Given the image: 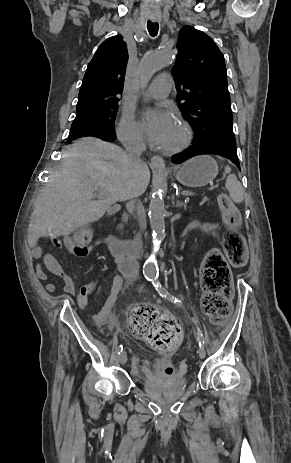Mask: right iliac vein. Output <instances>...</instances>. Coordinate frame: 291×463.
I'll return each instance as SVG.
<instances>
[{
  "label": "right iliac vein",
  "mask_w": 291,
  "mask_h": 463,
  "mask_svg": "<svg viewBox=\"0 0 291 463\" xmlns=\"http://www.w3.org/2000/svg\"><path fill=\"white\" fill-rule=\"evenodd\" d=\"M118 360L122 365H124L127 362V354L125 351L120 352Z\"/></svg>",
  "instance_id": "63e3f726"
}]
</instances>
